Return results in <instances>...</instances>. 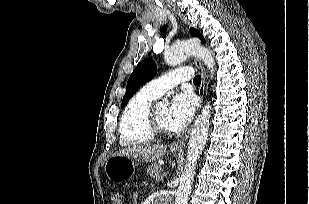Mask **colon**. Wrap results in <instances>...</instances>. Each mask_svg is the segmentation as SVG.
I'll use <instances>...</instances> for the list:
<instances>
[{"label": "colon", "instance_id": "5ec220e1", "mask_svg": "<svg viewBox=\"0 0 309 204\" xmlns=\"http://www.w3.org/2000/svg\"><path fill=\"white\" fill-rule=\"evenodd\" d=\"M112 204H122V196L119 192H113L111 195Z\"/></svg>", "mask_w": 309, "mask_h": 204}]
</instances>
